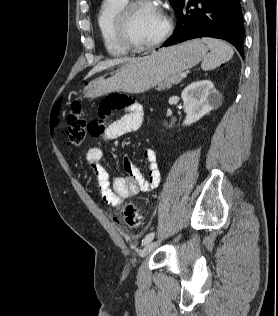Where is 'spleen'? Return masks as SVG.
Listing matches in <instances>:
<instances>
[{
  "label": "spleen",
  "mask_w": 278,
  "mask_h": 316,
  "mask_svg": "<svg viewBox=\"0 0 278 316\" xmlns=\"http://www.w3.org/2000/svg\"><path fill=\"white\" fill-rule=\"evenodd\" d=\"M201 41L211 50L209 54L204 56L201 63V68L203 70L207 71L215 69L233 57L234 51L227 43L209 37H203Z\"/></svg>",
  "instance_id": "obj_1"
}]
</instances>
